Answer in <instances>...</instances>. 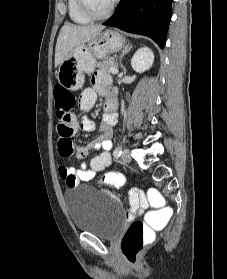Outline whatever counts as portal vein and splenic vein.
<instances>
[{
    "label": "portal vein and splenic vein",
    "mask_w": 227,
    "mask_h": 279,
    "mask_svg": "<svg viewBox=\"0 0 227 279\" xmlns=\"http://www.w3.org/2000/svg\"><path fill=\"white\" fill-rule=\"evenodd\" d=\"M110 71H111L112 74H117V73H118V69H117V68H114V67H112V68L110 69Z\"/></svg>",
    "instance_id": "portal-vein-and-splenic-vein-1"
}]
</instances>
